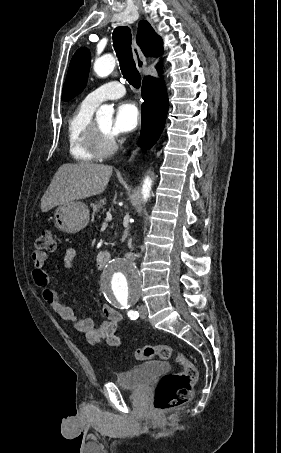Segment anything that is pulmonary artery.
<instances>
[{
    "mask_svg": "<svg viewBox=\"0 0 281 453\" xmlns=\"http://www.w3.org/2000/svg\"><path fill=\"white\" fill-rule=\"evenodd\" d=\"M125 94L124 86L118 81H110L95 91L91 92L86 99L94 104H100L107 99H115Z\"/></svg>",
    "mask_w": 281,
    "mask_h": 453,
    "instance_id": "pulmonary-artery-1",
    "label": "pulmonary artery"
}]
</instances>
